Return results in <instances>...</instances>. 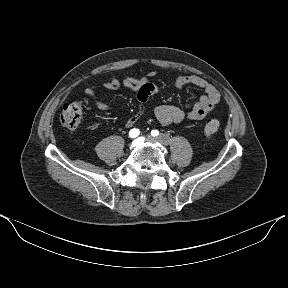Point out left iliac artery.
Returning a JSON list of instances; mask_svg holds the SVG:
<instances>
[{
	"label": "left iliac artery",
	"instance_id": "left-iliac-artery-1",
	"mask_svg": "<svg viewBox=\"0 0 288 288\" xmlns=\"http://www.w3.org/2000/svg\"><path fill=\"white\" fill-rule=\"evenodd\" d=\"M151 135L154 136V137H155V136H158V135H159V131L156 130V129H155V130H152V131H151Z\"/></svg>",
	"mask_w": 288,
	"mask_h": 288
}]
</instances>
